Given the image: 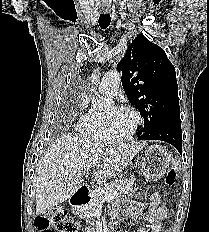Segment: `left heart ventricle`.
I'll return each instance as SVG.
<instances>
[{
	"label": "left heart ventricle",
	"mask_w": 209,
	"mask_h": 232,
	"mask_svg": "<svg viewBox=\"0 0 209 232\" xmlns=\"http://www.w3.org/2000/svg\"><path fill=\"white\" fill-rule=\"evenodd\" d=\"M104 115L108 119L110 131L114 135H125L129 133L135 123L134 116L125 110H116L111 107Z\"/></svg>",
	"instance_id": "b2bd125f"
}]
</instances>
